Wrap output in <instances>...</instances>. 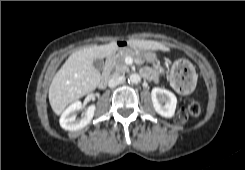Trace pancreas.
<instances>
[{"mask_svg": "<svg viewBox=\"0 0 245 170\" xmlns=\"http://www.w3.org/2000/svg\"><path fill=\"white\" fill-rule=\"evenodd\" d=\"M127 57L133 58V60L139 65L144 63V60L142 59V57L138 55L136 52L121 51L118 54H116L113 60V68H114L113 75H124L126 72H129V66L125 62V59ZM154 74L156 75L159 74L158 69L154 70Z\"/></svg>", "mask_w": 245, "mask_h": 170, "instance_id": "pancreas-1", "label": "pancreas"}]
</instances>
